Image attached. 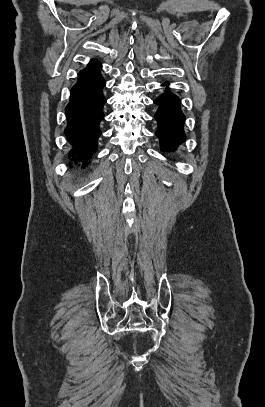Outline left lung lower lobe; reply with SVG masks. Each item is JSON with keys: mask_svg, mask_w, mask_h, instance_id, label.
<instances>
[{"mask_svg": "<svg viewBox=\"0 0 265 407\" xmlns=\"http://www.w3.org/2000/svg\"><path fill=\"white\" fill-rule=\"evenodd\" d=\"M169 86L168 82L163 84ZM154 103L158 105L154 118L158 123V136L162 151H174L185 140L183 125L185 116L180 108V99L168 88Z\"/></svg>", "mask_w": 265, "mask_h": 407, "instance_id": "1", "label": "left lung lower lobe"}]
</instances>
